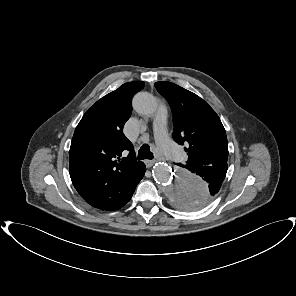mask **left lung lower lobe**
Returning a JSON list of instances; mask_svg holds the SVG:
<instances>
[{
    "instance_id": "obj_1",
    "label": "left lung lower lobe",
    "mask_w": 296,
    "mask_h": 296,
    "mask_svg": "<svg viewBox=\"0 0 296 296\" xmlns=\"http://www.w3.org/2000/svg\"><path fill=\"white\" fill-rule=\"evenodd\" d=\"M213 168L211 166H205L196 171V174L206 180L209 185V188L198 191L193 195L196 198L197 205H207L211 201L210 196L217 194L226 176L227 166L221 165L216 170Z\"/></svg>"
}]
</instances>
